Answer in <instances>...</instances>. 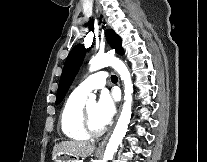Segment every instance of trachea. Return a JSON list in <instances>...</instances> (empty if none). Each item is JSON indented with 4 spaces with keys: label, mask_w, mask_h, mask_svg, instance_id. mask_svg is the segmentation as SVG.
I'll return each instance as SVG.
<instances>
[{
    "label": "trachea",
    "mask_w": 207,
    "mask_h": 162,
    "mask_svg": "<svg viewBox=\"0 0 207 162\" xmlns=\"http://www.w3.org/2000/svg\"><path fill=\"white\" fill-rule=\"evenodd\" d=\"M111 81H117V76L112 75V76H111Z\"/></svg>",
    "instance_id": "1"
}]
</instances>
